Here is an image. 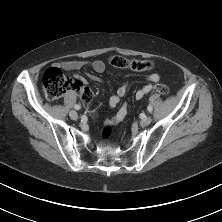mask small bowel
<instances>
[{
    "label": "small bowel",
    "instance_id": "obj_1",
    "mask_svg": "<svg viewBox=\"0 0 222 222\" xmlns=\"http://www.w3.org/2000/svg\"><path fill=\"white\" fill-rule=\"evenodd\" d=\"M59 66L65 71H77L86 66H90L92 70L96 73H103L105 71V64L101 60H95L92 62H86L83 60H68L61 62ZM89 77L93 80H98L96 76L89 75ZM77 79L81 84L85 85L87 83V80L82 76H77ZM146 80L148 81V84L144 85L142 88L138 89L135 92V98L137 100L142 99L145 95H147L152 91L154 85L159 82L160 76L157 73H152L146 77ZM127 91H128V84L127 83L122 84L117 89L116 93L110 97L109 106L111 108H115L116 106H118L119 103L121 102V99L127 94ZM127 114H128L127 105L123 104L115 114H113L111 117H109L106 120V124L108 125L119 124L124 120Z\"/></svg>",
    "mask_w": 222,
    "mask_h": 222
}]
</instances>
